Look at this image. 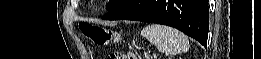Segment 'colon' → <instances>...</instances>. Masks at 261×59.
Instances as JSON below:
<instances>
[{
	"mask_svg": "<svg viewBox=\"0 0 261 59\" xmlns=\"http://www.w3.org/2000/svg\"><path fill=\"white\" fill-rule=\"evenodd\" d=\"M80 29L88 39L99 46L108 45L117 40V36L114 32L101 26L83 24L80 26ZM124 58L136 59L132 53L126 54ZM108 59H120V56L116 53H112L108 56Z\"/></svg>",
	"mask_w": 261,
	"mask_h": 59,
	"instance_id": "1",
	"label": "colon"
}]
</instances>
